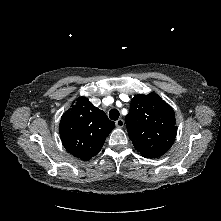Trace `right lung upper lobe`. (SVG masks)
Returning a JSON list of instances; mask_svg holds the SVG:
<instances>
[{
    "instance_id": "cb5924a9",
    "label": "right lung upper lobe",
    "mask_w": 221,
    "mask_h": 221,
    "mask_svg": "<svg viewBox=\"0 0 221 221\" xmlns=\"http://www.w3.org/2000/svg\"><path fill=\"white\" fill-rule=\"evenodd\" d=\"M115 123L93 106L86 97H79L59 124V132L66 150L73 156L88 161L101 150Z\"/></svg>"
}]
</instances>
